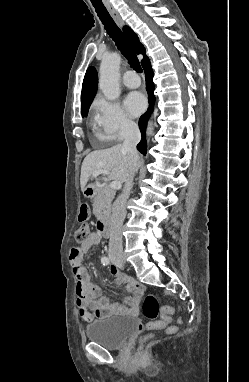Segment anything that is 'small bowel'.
I'll use <instances>...</instances> for the list:
<instances>
[{
  "mask_svg": "<svg viewBox=\"0 0 249 382\" xmlns=\"http://www.w3.org/2000/svg\"><path fill=\"white\" fill-rule=\"evenodd\" d=\"M102 240L100 233L89 234L88 239L70 251V262L76 277L77 305L82 320L86 323L96 318H105L114 315L133 314L137 312L138 302L143 293V286L120 273L116 269L111 270V276L116 284L124 286L131 296L127 305L111 303L102 295L101 288L91 281L88 270L84 267L85 254Z\"/></svg>",
  "mask_w": 249,
  "mask_h": 382,
  "instance_id": "obj_1",
  "label": "small bowel"
}]
</instances>
